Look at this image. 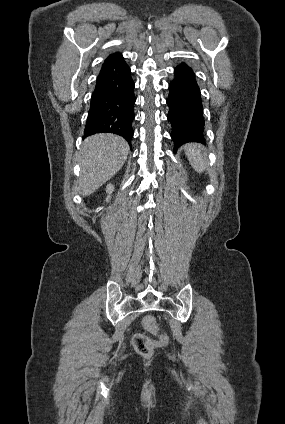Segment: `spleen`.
<instances>
[{
    "label": "spleen",
    "instance_id": "3e777b00",
    "mask_svg": "<svg viewBox=\"0 0 285 424\" xmlns=\"http://www.w3.org/2000/svg\"><path fill=\"white\" fill-rule=\"evenodd\" d=\"M184 150L194 169L199 173L203 172L206 169L207 160L202 155L199 146L197 144H187Z\"/></svg>",
    "mask_w": 285,
    "mask_h": 424
}]
</instances>
